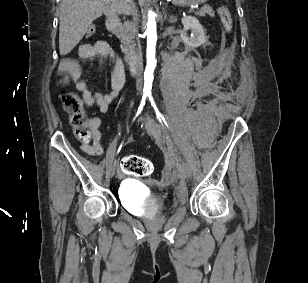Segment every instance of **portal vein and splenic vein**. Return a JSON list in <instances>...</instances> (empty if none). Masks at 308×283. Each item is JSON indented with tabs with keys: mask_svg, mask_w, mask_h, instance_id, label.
Returning a JSON list of instances; mask_svg holds the SVG:
<instances>
[{
	"mask_svg": "<svg viewBox=\"0 0 308 283\" xmlns=\"http://www.w3.org/2000/svg\"><path fill=\"white\" fill-rule=\"evenodd\" d=\"M196 9H198V6L192 7V10H196Z\"/></svg>",
	"mask_w": 308,
	"mask_h": 283,
	"instance_id": "obj_1",
	"label": "portal vein and splenic vein"
}]
</instances>
